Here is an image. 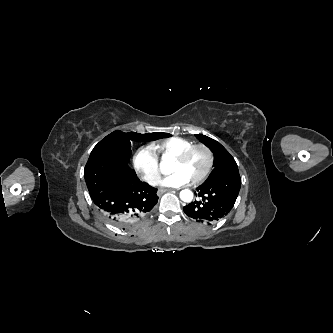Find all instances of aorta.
<instances>
[{
	"label": "aorta",
	"mask_w": 333,
	"mask_h": 333,
	"mask_svg": "<svg viewBox=\"0 0 333 333\" xmlns=\"http://www.w3.org/2000/svg\"><path fill=\"white\" fill-rule=\"evenodd\" d=\"M161 170L165 172L164 166L161 167ZM180 198L184 202H191L193 199V193L189 189H184L180 192Z\"/></svg>",
	"instance_id": "aorta-1"
}]
</instances>
